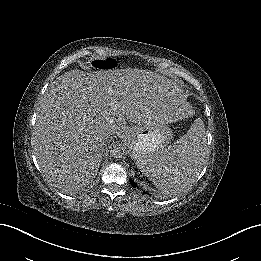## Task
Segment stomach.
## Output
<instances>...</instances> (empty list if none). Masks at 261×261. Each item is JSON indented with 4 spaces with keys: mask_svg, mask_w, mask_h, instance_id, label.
<instances>
[{
    "mask_svg": "<svg viewBox=\"0 0 261 261\" xmlns=\"http://www.w3.org/2000/svg\"><path fill=\"white\" fill-rule=\"evenodd\" d=\"M129 134L130 156L137 161L157 153L169 140L161 116H150L149 119L132 128Z\"/></svg>",
    "mask_w": 261,
    "mask_h": 261,
    "instance_id": "stomach-1",
    "label": "stomach"
}]
</instances>
